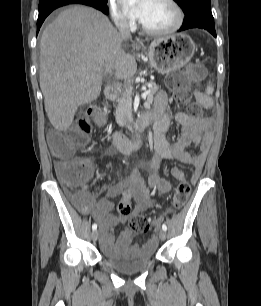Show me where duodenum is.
Masks as SVG:
<instances>
[{
    "mask_svg": "<svg viewBox=\"0 0 261 306\" xmlns=\"http://www.w3.org/2000/svg\"><path fill=\"white\" fill-rule=\"evenodd\" d=\"M117 89L114 87H108L105 91V98L108 101H113L117 98ZM153 121V118L149 114H144L139 116L135 121L134 125L136 128V131L138 133H141L144 131V129ZM113 143L116 146V148L122 152V153H130L133 150L137 149L141 143V137L136 136L134 139L130 140L127 137H125L120 132H116L113 135Z\"/></svg>",
    "mask_w": 261,
    "mask_h": 306,
    "instance_id": "410a0bca",
    "label": "duodenum"
}]
</instances>
